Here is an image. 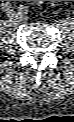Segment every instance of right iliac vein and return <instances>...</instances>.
<instances>
[{
    "label": "right iliac vein",
    "instance_id": "63e3f726",
    "mask_svg": "<svg viewBox=\"0 0 74 122\" xmlns=\"http://www.w3.org/2000/svg\"><path fill=\"white\" fill-rule=\"evenodd\" d=\"M9 16H10L11 19H14V20H19L20 19V16H19L18 13H10Z\"/></svg>",
    "mask_w": 74,
    "mask_h": 122
}]
</instances>
